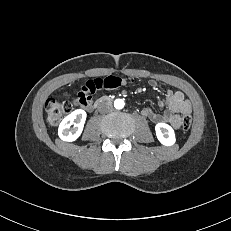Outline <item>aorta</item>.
Instances as JSON below:
<instances>
[{"label":"aorta","instance_id":"1","mask_svg":"<svg viewBox=\"0 0 231 231\" xmlns=\"http://www.w3.org/2000/svg\"><path fill=\"white\" fill-rule=\"evenodd\" d=\"M124 105H125V103H124V101L122 99H116L114 101V107L116 109H122V108H124Z\"/></svg>","mask_w":231,"mask_h":231}]
</instances>
